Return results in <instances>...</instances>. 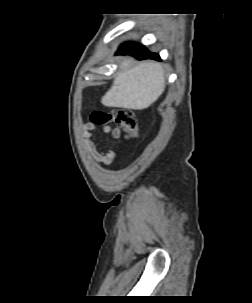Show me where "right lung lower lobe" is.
<instances>
[{
	"mask_svg": "<svg viewBox=\"0 0 252 303\" xmlns=\"http://www.w3.org/2000/svg\"><path fill=\"white\" fill-rule=\"evenodd\" d=\"M117 54L133 55L138 60H143V59L160 60V56L158 54L147 52L146 48H143L138 44H131L130 42L123 44L118 49Z\"/></svg>",
	"mask_w": 252,
	"mask_h": 303,
	"instance_id": "98d812e1",
	"label": "right lung lower lobe"
}]
</instances>
